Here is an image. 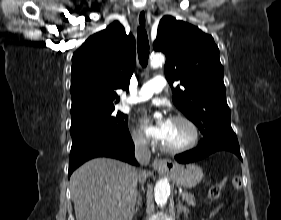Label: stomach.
Masks as SVG:
<instances>
[{
  "mask_svg": "<svg viewBox=\"0 0 281 220\" xmlns=\"http://www.w3.org/2000/svg\"><path fill=\"white\" fill-rule=\"evenodd\" d=\"M170 174L184 188L195 187L203 178V170L196 164H174Z\"/></svg>",
  "mask_w": 281,
  "mask_h": 220,
  "instance_id": "stomach-1",
  "label": "stomach"
}]
</instances>
